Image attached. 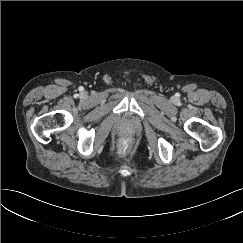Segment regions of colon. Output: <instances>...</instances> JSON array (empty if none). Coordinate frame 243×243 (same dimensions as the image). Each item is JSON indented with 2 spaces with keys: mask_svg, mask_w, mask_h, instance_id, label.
Segmentation results:
<instances>
[{
  "mask_svg": "<svg viewBox=\"0 0 243 243\" xmlns=\"http://www.w3.org/2000/svg\"><path fill=\"white\" fill-rule=\"evenodd\" d=\"M131 146V142L129 140H122L119 145V149L121 152L125 153L129 150Z\"/></svg>",
  "mask_w": 243,
  "mask_h": 243,
  "instance_id": "1",
  "label": "colon"
}]
</instances>
